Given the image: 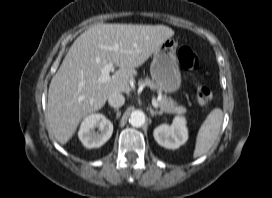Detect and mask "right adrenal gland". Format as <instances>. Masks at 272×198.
I'll use <instances>...</instances> for the list:
<instances>
[{
    "instance_id": "1",
    "label": "right adrenal gland",
    "mask_w": 272,
    "mask_h": 198,
    "mask_svg": "<svg viewBox=\"0 0 272 198\" xmlns=\"http://www.w3.org/2000/svg\"><path fill=\"white\" fill-rule=\"evenodd\" d=\"M114 111L118 113V112H119V109H118V108H115Z\"/></svg>"
}]
</instances>
